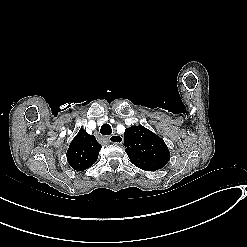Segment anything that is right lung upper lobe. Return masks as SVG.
I'll list each match as a JSON object with an SVG mask.
<instances>
[{
	"label": "right lung upper lobe",
	"instance_id": "obj_1",
	"mask_svg": "<svg viewBox=\"0 0 247 247\" xmlns=\"http://www.w3.org/2000/svg\"><path fill=\"white\" fill-rule=\"evenodd\" d=\"M101 145L93 135L80 129L67 150V161L77 171H84L97 160Z\"/></svg>",
	"mask_w": 247,
	"mask_h": 247
}]
</instances>
